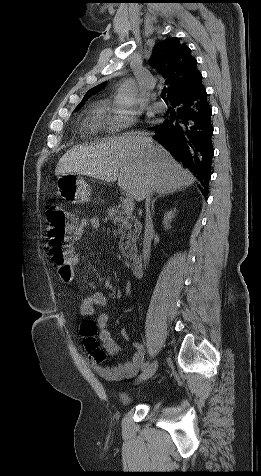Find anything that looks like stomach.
Listing matches in <instances>:
<instances>
[{
	"instance_id": "0dacf381",
	"label": "stomach",
	"mask_w": 261,
	"mask_h": 476,
	"mask_svg": "<svg viewBox=\"0 0 261 476\" xmlns=\"http://www.w3.org/2000/svg\"><path fill=\"white\" fill-rule=\"evenodd\" d=\"M57 186L63 198L72 203L90 201L91 188L78 174H63L58 177Z\"/></svg>"
}]
</instances>
